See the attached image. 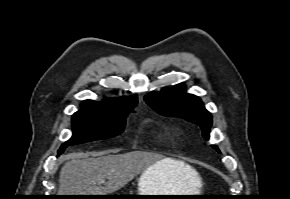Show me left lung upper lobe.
<instances>
[{
  "label": "left lung upper lobe",
  "instance_id": "obj_1",
  "mask_svg": "<svg viewBox=\"0 0 290 199\" xmlns=\"http://www.w3.org/2000/svg\"><path fill=\"white\" fill-rule=\"evenodd\" d=\"M145 101L161 115L184 118L199 125L204 138L209 139L212 116L204 108L199 97L185 93L183 84L164 91L152 92L145 96ZM213 148L219 151L216 146Z\"/></svg>",
  "mask_w": 290,
  "mask_h": 199
}]
</instances>
